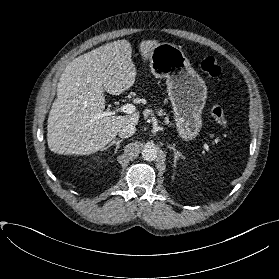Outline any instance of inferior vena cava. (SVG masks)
Masks as SVG:
<instances>
[{"mask_svg":"<svg viewBox=\"0 0 279 279\" xmlns=\"http://www.w3.org/2000/svg\"><path fill=\"white\" fill-rule=\"evenodd\" d=\"M136 132V128L133 125H126L122 129L119 130V137L128 138L131 137Z\"/></svg>","mask_w":279,"mask_h":279,"instance_id":"obj_1","label":"inferior vena cava"}]
</instances>
